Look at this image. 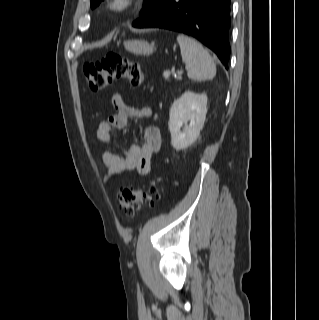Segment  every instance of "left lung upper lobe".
<instances>
[{"label":"left lung upper lobe","instance_id":"obj_1","mask_svg":"<svg viewBox=\"0 0 319 320\" xmlns=\"http://www.w3.org/2000/svg\"><path fill=\"white\" fill-rule=\"evenodd\" d=\"M103 0H91V7L95 8L97 5L100 4V2ZM161 0H144V7L141 10L139 16L143 17L145 15H147L151 9L154 8V6L160 2Z\"/></svg>","mask_w":319,"mask_h":320}]
</instances>
